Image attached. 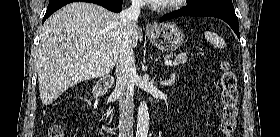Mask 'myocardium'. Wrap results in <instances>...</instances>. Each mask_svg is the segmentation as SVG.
<instances>
[{
  "label": "myocardium",
  "mask_w": 280,
  "mask_h": 137,
  "mask_svg": "<svg viewBox=\"0 0 280 137\" xmlns=\"http://www.w3.org/2000/svg\"><path fill=\"white\" fill-rule=\"evenodd\" d=\"M184 0H171L169 3L163 5H154V7L159 11L171 10L179 7Z\"/></svg>",
  "instance_id": "f54148a6"
}]
</instances>
